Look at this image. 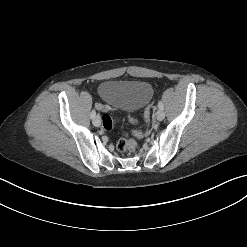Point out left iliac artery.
I'll use <instances>...</instances> for the list:
<instances>
[{
	"label": "left iliac artery",
	"mask_w": 247,
	"mask_h": 247,
	"mask_svg": "<svg viewBox=\"0 0 247 247\" xmlns=\"http://www.w3.org/2000/svg\"><path fill=\"white\" fill-rule=\"evenodd\" d=\"M158 107H159V109H161V110L164 109V105H163L162 101H159V102H158Z\"/></svg>",
	"instance_id": "44dca946"
}]
</instances>
